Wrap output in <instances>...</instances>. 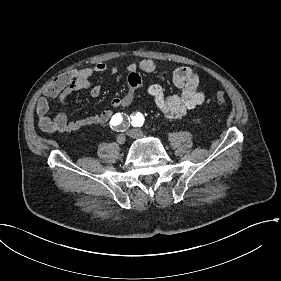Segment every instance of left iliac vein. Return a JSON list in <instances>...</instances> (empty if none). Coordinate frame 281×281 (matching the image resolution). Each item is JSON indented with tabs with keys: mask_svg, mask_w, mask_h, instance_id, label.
Segmentation results:
<instances>
[{
	"mask_svg": "<svg viewBox=\"0 0 281 281\" xmlns=\"http://www.w3.org/2000/svg\"><path fill=\"white\" fill-rule=\"evenodd\" d=\"M128 136L131 138H141L144 136V132L140 129H131L128 131Z\"/></svg>",
	"mask_w": 281,
	"mask_h": 281,
	"instance_id": "obj_1",
	"label": "left iliac vein"
}]
</instances>
